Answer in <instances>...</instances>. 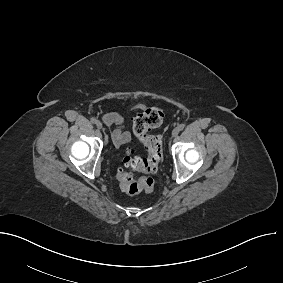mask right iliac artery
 <instances>
[{"label":"right iliac artery","instance_id":"obj_1","mask_svg":"<svg viewBox=\"0 0 283 283\" xmlns=\"http://www.w3.org/2000/svg\"><path fill=\"white\" fill-rule=\"evenodd\" d=\"M91 122H92L93 124H96V123L98 122V120H97L96 118L92 117V118H91Z\"/></svg>","mask_w":283,"mask_h":283}]
</instances>
